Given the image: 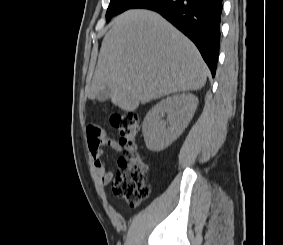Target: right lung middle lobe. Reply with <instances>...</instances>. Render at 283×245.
I'll return each instance as SVG.
<instances>
[{"label": "right lung middle lobe", "instance_id": "obj_1", "mask_svg": "<svg viewBox=\"0 0 283 245\" xmlns=\"http://www.w3.org/2000/svg\"><path fill=\"white\" fill-rule=\"evenodd\" d=\"M139 1L140 0H111L106 12L107 22L110 21L113 16L132 8Z\"/></svg>", "mask_w": 283, "mask_h": 245}]
</instances>
